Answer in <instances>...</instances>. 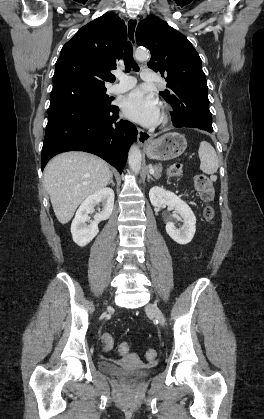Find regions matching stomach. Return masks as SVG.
<instances>
[{"mask_svg": "<svg viewBox=\"0 0 264 419\" xmlns=\"http://www.w3.org/2000/svg\"><path fill=\"white\" fill-rule=\"evenodd\" d=\"M187 147L184 135L172 132L158 139L150 140L145 145V152L151 159L170 160L179 157Z\"/></svg>", "mask_w": 264, "mask_h": 419, "instance_id": "1", "label": "stomach"}]
</instances>
